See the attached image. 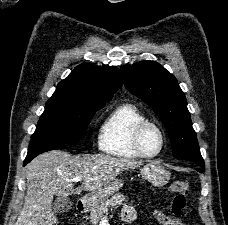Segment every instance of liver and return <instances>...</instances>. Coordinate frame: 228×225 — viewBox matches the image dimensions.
<instances>
[{"instance_id":"1","label":"liver","mask_w":228,"mask_h":225,"mask_svg":"<svg viewBox=\"0 0 228 225\" xmlns=\"http://www.w3.org/2000/svg\"><path fill=\"white\" fill-rule=\"evenodd\" d=\"M141 163L129 159H115L110 155L72 157L65 151H48L33 159L26 171L27 191L24 207L16 225H57L54 195L69 197L82 191L96 193L129 169ZM75 177H82V185L74 189Z\"/></svg>"}]
</instances>
